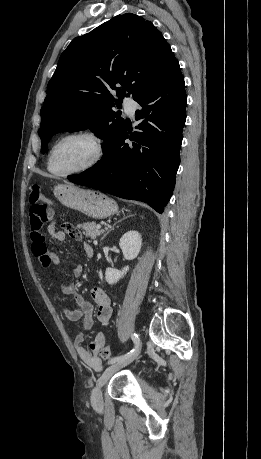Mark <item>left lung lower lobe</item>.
Instances as JSON below:
<instances>
[{
	"label": "left lung lower lobe",
	"mask_w": 261,
	"mask_h": 459,
	"mask_svg": "<svg viewBox=\"0 0 261 459\" xmlns=\"http://www.w3.org/2000/svg\"><path fill=\"white\" fill-rule=\"evenodd\" d=\"M138 131L128 127L94 167L69 181L164 211L175 186L186 120L184 78L176 60L168 72L136 100ZM129 131V132H128ZM133 141L126 144L125 139Z\"/></svg>",
	"instance_id": "left-lung-lower-lobe-1"
}]
</instances>
